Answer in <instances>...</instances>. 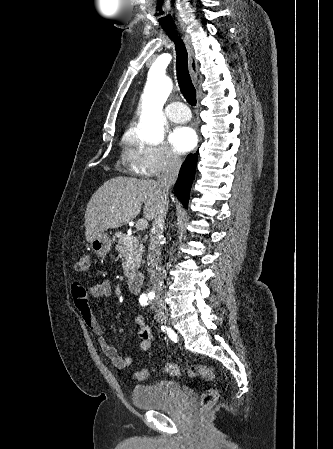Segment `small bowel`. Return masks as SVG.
<instances>
[{"label": "small bowel", "mask_w": 333, "mask_h": 449, "mask_svg": "<svg viewBox=\"0 0 333 449\" xmlns=\"http://www.w3.org/2000/svg\"><path fill=\"white\" fill-rule=\"evenodd\" d=\"M71 296L78 313L81 316L85 326L89 328L98 337V344L102 352L111 360L112 364L118 369L129 367L133 359L130 356H120L114 346H112L102 335V329L95 318L89 304V298L93 297L100 300H109L112 296L111 285L108 281L103 280L98 283L83 285L75 282L71 287ZM138 330L136 339L138 348L141 351H148L153 342L150 329L146 326L141 315L136 316Z\"/></svg>", "instance_id": "obj_1"}]
</instances>
